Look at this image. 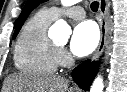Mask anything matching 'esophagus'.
Returning a JSON list of instances; mask_svg holds the SVG:
<instances>
[{
	"mask_svg": "<svg viewBox=\"0 0 127 92\" xmlns=\"http://www.w3.org/2000/svg\"><path fill=\"white\" fill-rule=\"evenodd\" d=\"M100 11V42L92 56V61L96 60L102 54L109 35V1L99 0Z\"/></svg>",
	"mask_w": 127,
	"mask_h": 92,
	"instance_id": "1",
	"label": "esophagus"
}]
</instances>
